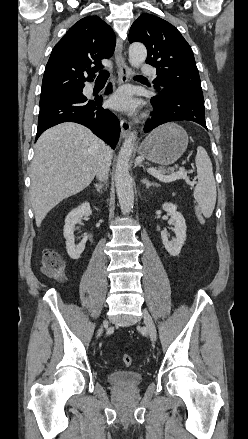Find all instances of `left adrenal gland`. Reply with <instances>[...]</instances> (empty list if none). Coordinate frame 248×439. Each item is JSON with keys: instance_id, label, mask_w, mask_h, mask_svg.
<instances>
[{"instance_id": "a2214340", "label": "left adrenal gland", "mask_w": 248, "mask_h": 439, "mask_svg": "<svg viewBox=\"0 0 248 439\" xmlns=\"http://www.w3.org/2000/svg\"><path fill=\"white\" fill-rule=\"evenodd\" d=\"M142 183L145 184L146 189H149L151 186H153V187L158 186L157 183L149 182V180H148L147 178H144V179L142 180Z\"/></svg>"}]
</instances>
